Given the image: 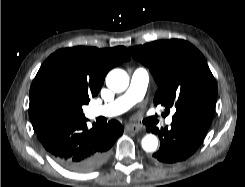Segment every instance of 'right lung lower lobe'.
<instances>
[{"label":"right lung lower lobe","instance_id":"1","mask_svg":"<svg viewBox=\"0 0 245 187\" xmlns=\"http://www.w3.org/2000/svg\"><path fill=\"white\" fill-rule=\"evenodd\" d=\"M86 122L85 116L57 120L36 131L49 155L70 171L88 172L102 166L123 133L122 125L115 120L105 127L94 124L91 129Z\"/></svg>","mask_w":245,"mask_h":187}]
</instances>
